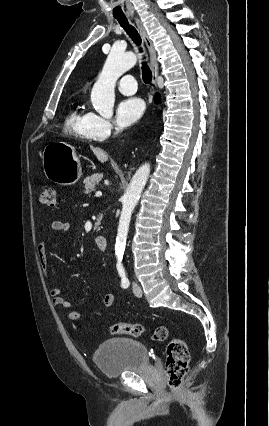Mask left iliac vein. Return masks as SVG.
<instances>
[{"label": "left iliac vein", "mask_w": 269, "mask_h": 426, "mask_svg": "<svg viewBox=\"0 0 269 426\" xmlns=\"http://www.w3.org/2000/svg\"><path fill=\"white\" fill-rule=\"evenodd\" d=\"M132 289H133L134 294L137 297H141L142 296V290H141V288L135 282L132 283Z\"/></svg>", "instance_id": "4c4485c4"}]
</instances>
